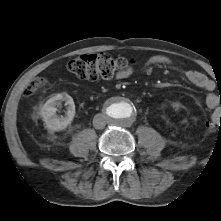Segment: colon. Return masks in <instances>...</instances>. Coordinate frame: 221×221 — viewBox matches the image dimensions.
Listing matches in <instances>:
<instances>
[{"mask_svg":"<svg viewBox=\"0 0 221 221\" xmlns=\"http://www.w3.org/2000/svg\"><path fill=\"white\" fill-rule=\"evenodd\" d=\"M132 62L130 59L114 57L108 53L88 54L71 60L68 64V69L80 79H108L127 69ZM44 85V79H35L28 86L27 94L32 95L36 93ZM207 126L209 129L221 128V109L214 112Z\"/></svg>","mask_w":221,"mask_h":221,"instance_id":"colon-1","label":"colon"}]
</instances>
